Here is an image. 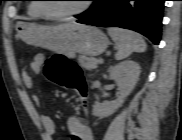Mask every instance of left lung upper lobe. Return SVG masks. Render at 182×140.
I'll use <instances>...</instances> for the list:
<instances>
[{
    "label": "left lung upper lobe",
    "mask_w": 182,
    "mask_h": 140,
    "mask_svg": "<svg viewBox=\"0 0 182 140\" xmlns=\"http://www.w3.org/2000/svg\"><path fill=\"white\" fill-rule=\"evenodd\" d=\"M98 1H99V0H95V3H97ZM87 12H88V11L84 12V14L87 13Z\"/></svg>",
    "instance_id": "left-lung-upper-lobe-1"
}]
</instances>
